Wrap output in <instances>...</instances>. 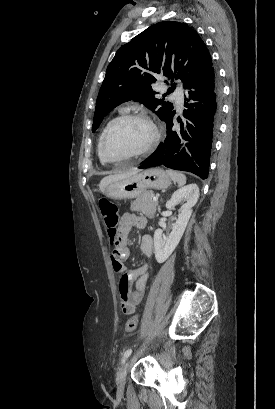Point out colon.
I'll return each instance as SVG.
<instances>
[{
    "instance_id": "obj_1",
    "label": "colon",
    "mask_w": 275,
    "mask_h": 409,
    "mask_svg": "<svg viewBox=\"0 0 275 409\" xmlns=\"http://www.w3.org/2000/svg\"><path fill=\"white\" fill-rule=\"evenodd\" d=\"M100 212L104 218L105 227L110 244L114 247L117 245L119 232V214L118 206L110 199L103 198L99 202ZM138 324V316H130L125 325L127 332H133Z\"/></svg>"
}]
</instances>
